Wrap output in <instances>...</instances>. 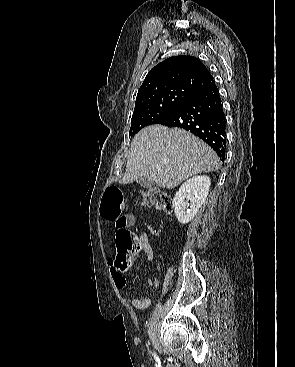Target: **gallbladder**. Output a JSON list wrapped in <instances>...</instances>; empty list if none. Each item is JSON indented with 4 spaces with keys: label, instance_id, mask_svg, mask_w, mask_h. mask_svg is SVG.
I'll return each mask as SVG.
<instances>
[{
    "label": "gallbladder",
    "instance_id": "obj_1",
    "mask_svg": "<svg viewBox=\"0 0 295 367\" xmlns=\"http://www.w3.org/2000/svg\"><path fill=\"white\" fill-rule=\"evenodd\" d=\"M138 184H140V186H142L143 188H151L154 184L153 181L148 180L147 178H140L137 180Z\"/></svg>",
    "mask_w": 295,
    "mask_h": 367
}]
</instances>
